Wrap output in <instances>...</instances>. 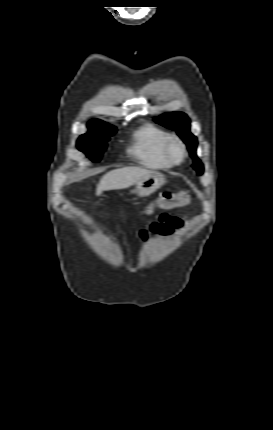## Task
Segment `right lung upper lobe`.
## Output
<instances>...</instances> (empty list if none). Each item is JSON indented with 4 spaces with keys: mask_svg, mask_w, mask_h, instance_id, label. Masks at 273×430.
<instances>
[{
    "mask_svg": "<svg viewBox=\"0 0 273 430\" xmlns=\"http://www.w3.org/2000/svg\"><path fill=\"white\" fill-rule=\"evenodd\" d=\"M89 125H90V126H98V127L105 128V129H107L108 127H113V126H111V125H109V124H106L105 122H103V121H101V120H97V119L92 120V121L89 123Z\"/></svg>",
    "mask_w": 273,
    "mask_h": 430,
    "instance_id": "obj_1",
    "label": "right lung upper lobe"
}]
</instances>
